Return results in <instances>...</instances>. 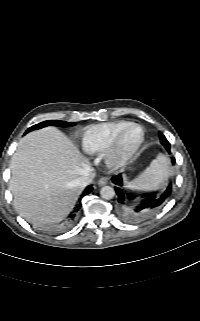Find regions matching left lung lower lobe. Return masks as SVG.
Wrapping results in <instances>:
<instances>
[{
  "mask_svg": "<svg viewBox=\"0 0 200 321\" xmlns=\"http://www.w3.org/2000/svg\"><path fill=\"white\" fill-rule=\"evenodd\" d=\"M165 147V146H164ZM170 153V144L165 147ZM175 159L172 158V164ZM116 184L115 191L118 196V207L122 217L128 221L137 222L148 218L152 213L160 209L171 194V185L160 195L152 194L142 198L127 193L123 188V179L120 175L112 178Z\"/></svg>",
  "mask_w": 200,
  "mask_h": 321,
  "instance_id": "obj_1",
  "label": "left lung lower lobe"
}]
</instances>
